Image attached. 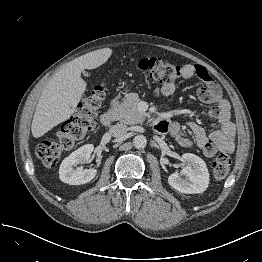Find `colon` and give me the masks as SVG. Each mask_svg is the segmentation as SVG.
I'll return each instance as SVG.
<instances>
[{
	"label": "colon",
	"instance_id": "colon-1",
	"mask_svg": "<svg viewBox=\"0 0 262 262\" xmlns=\"http://www.w3.org/2000/svg\"><path fill=\"white\" fill-rule=\"evenodd\" d=\"M138 70L146 80L158 86L173 83L182 74L179 66L157 57L140 60ZM158 91L159 87L156 89V92ZM103 97V88H94L82 99L76 114L62 126L58 137L44 139L38 143L36 153L45 165H55L67 150L94 129L95 117ZM230 166L231 155L228 152L219 153L213 163L214 177L218 180L224 179Z\"/></svg>",
	"mask_w": 262,
	"mask_h": 262
}]
</instances>
